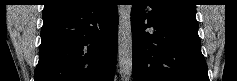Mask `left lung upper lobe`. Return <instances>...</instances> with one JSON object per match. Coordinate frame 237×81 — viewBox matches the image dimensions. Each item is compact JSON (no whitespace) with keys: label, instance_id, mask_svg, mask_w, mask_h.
Here are the masks:
<instances>
[{"label":"left lung upper lobe","instance_id":"5c2ea615","mask_svg":"<svg viewBox=\"0 0 237 81\" xmlns=\"http://www.w3.org/2000/svg\"><path fill=\"white\" fill-rule=\"evenodd\" d=\"M163 6L185 12L196 13L195 2L193 0H155Z\"/></svg>","mask_w":237,"mask_h":81}]
</instances>
